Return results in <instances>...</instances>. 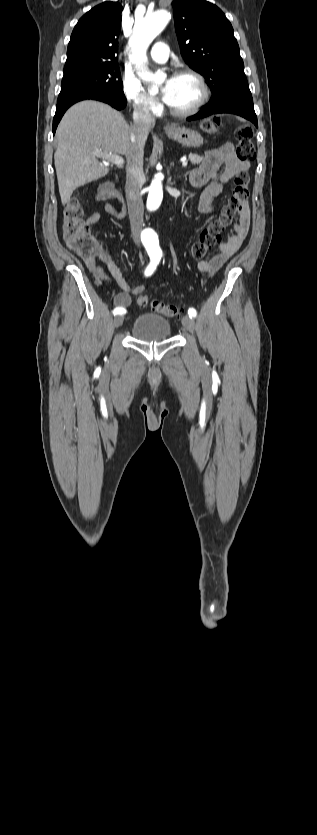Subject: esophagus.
Returning a JSON list of instances; mask_svg holds the SVG:
<instances>
[{
    "label": "esophagus",
    "mask_w": 317,
    "mask_h": 835,
    "mask_svg": "<svg viewBox=\"0 0 317 835\" xmlns=\"http://www.w3.org/2000/svg\"><path fill=\"white\" fill-rule=\"evenodd\" d=\"M175 129H176V128H175V126H174V125H171V124H166V125H165V127H164V130H165L166 132H170V131H173V130H175Z\"/></svg>",
    "instance_id": "1"
}]
</instances>
